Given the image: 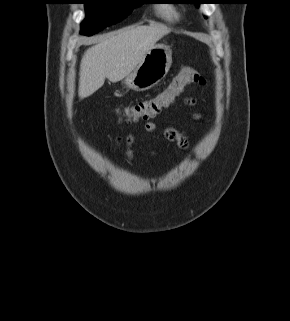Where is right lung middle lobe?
Segmentation results:
<instances>
[{"instance_id": "dd1d6c3e", "label": "right lung middle lobe", "mask_w": 290, "mask_h": 321, "mask_svg": "<svg viewBox=\"0 0 290 321\" xmlns=\"http://www.w3.org/2000/svg\"><path fill=\"white\" fill-rule=\"evenodd\" d=\"M137 0H83L86 19L82 22L81 34L91 36L101 29L121 21L134 8L142 5Z\"/></svg>"}]
</instances>
